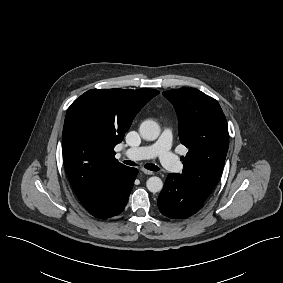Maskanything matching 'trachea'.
<instances>
[{
	"label": "trachea",
	"instance_id": "trachea-1",
	"mask_svg": "<svg viewBox=\"0 0 283 283\" xmlns=\"http://www.w3.org/2000/svg\"><path fill=\"white\" fill-rule=\"evenodd\" d=\"M125 164L130 165V166H137V164L131 160H125L123 161ZM146 169L151 170V171H158L160 168L158 166H155L154 164H146L144 166Z\"/></svg>",
	"mask_w": 283,
	"mask_h": 283
}]
</instances>
